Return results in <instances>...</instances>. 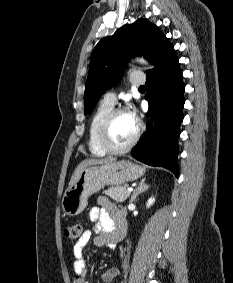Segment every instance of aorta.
<instances>
[{
	"label": "aorta",
	"instance_id": "aorta-1",
	"mask_svg": "<svg viewBox=\"0 0 233 283\" xmlns=\"http://www.w3.org/2000/svg\"><path fill=\"white\" fill-rule=\"evenodd\" d=\"M137 61H139L140 63H144V64L147 63L144 59H137Z\"/></svg>",
	"mask_w": 233,
	"mask_h": 283
}]
</instances>
